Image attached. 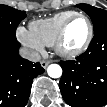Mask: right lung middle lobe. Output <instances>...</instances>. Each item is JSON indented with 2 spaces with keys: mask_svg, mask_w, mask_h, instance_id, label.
Listing matches in <instances>:
<instances>
[{
  "mask_svg": "<svg viewBox=\"0 0 107 107\" xmlns=\"http://www.w3.org/2000/svg\"><path fill=\"white\" fill-rule=\"evenodd\" d=\"M25 17V11L0 5V39L16 41V28Z\"/></svg>",
  "mask_w": 107,
  "mask_h": 107,
  "instance_id": "right-lung-middle-lobe-1",
  "label": "right lung middle lobe"
}]
</instances>
